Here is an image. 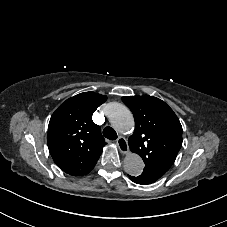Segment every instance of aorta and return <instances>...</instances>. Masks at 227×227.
Returning <instances> with one entry per match:
<instances>
[{"instance_id":"762f6f07","label":"aorta","mask_w":227,"mask_h":227,"mask_svg":"<svg viewBox=\"0 0 227 227\" xmlns=\"http://www.w3.org/2000/svg\"><path fill=\"white\" fill-rule=\"evenodd\" d=\"M107 115L111 125L120 133L133 129L134 118L131 111L120 103H110L107 106ZM143 159L136 153H129L124 159V169L132 176H138L144 169Z\"/></svg>"}]
</instances>
